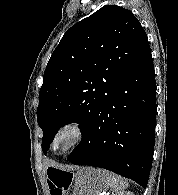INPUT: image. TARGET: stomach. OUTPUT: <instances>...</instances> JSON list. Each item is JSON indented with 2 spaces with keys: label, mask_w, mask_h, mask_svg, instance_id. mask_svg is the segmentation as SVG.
Listing matches in <instances>:
<instances>
[{
  "label": "stomach",
  "mask_w": 178,
  "mask_h": 195,
  "mask_svg": "<svg viewBox=\"0 0 178 195\" xmlns=\"http://www.w3.org/2000/svg\"><path fill=\"white\" fill-rule=\"evenodd\" d=\"M55 168V167H51ZM57 176L65 177L68 171L62 169H52ZM72 194L71 195H100L105 189L106 184L98 169L92 167H83L77 170L72 177Z\"/></svg>",
  "instance_id": "obj_1"
}]
</instances>
